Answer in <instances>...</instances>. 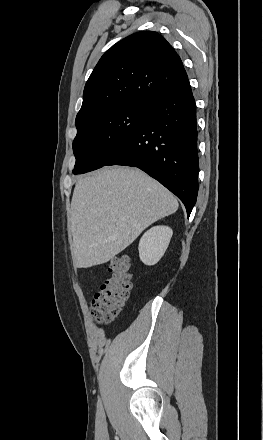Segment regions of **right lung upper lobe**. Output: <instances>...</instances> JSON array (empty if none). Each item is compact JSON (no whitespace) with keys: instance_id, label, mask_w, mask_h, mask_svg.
<instances>
[{"instance_id":"1","label":"right lung upper lobe","mask_w":263,"mask_h":440,"mask_svg":"<svg viewBox=\"0 0 263 440\" xmlns=\"http://www.w3.org/2000/svg\"><path fill=\"white\" fill-rule=\"evenodd\" d=\"M187 79L180 57L160 34H132L99 60L85 85L75 124L116 106L148 103Z\"/></svg>"}]
</instances>
